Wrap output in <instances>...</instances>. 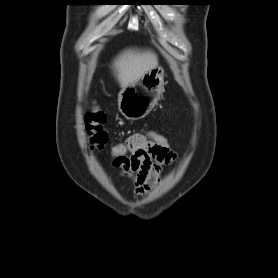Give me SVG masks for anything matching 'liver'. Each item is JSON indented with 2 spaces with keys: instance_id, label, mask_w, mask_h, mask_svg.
Masks as SVG:
<instances>
[{
  "instance_id": "1",
  "label": "liver",
  "mask_w": 278,
  "mask_h": 278,
  "mask_svg": "<svg viewBox=\"0 0 278 278\" xmlns=\"http://www.w3.org/2000/svg\"><path fill=\"white\" fill-rule=\"evenodd\" d=\"M158 66L157 56L151 51L126 50L114 61L113 67L123 88L140 79Z\"/></svg>"
}]
</instances>
